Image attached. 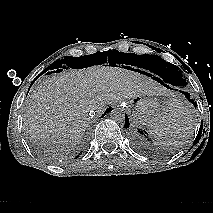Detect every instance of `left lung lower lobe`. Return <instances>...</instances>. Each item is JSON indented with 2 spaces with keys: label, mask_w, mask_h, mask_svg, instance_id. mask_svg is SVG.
Listing matches in <instances>:
<instances>
[{
  "label": "left lung lower lobe",
  "mask_w": 213,
  "mask_h": 213,
  "mask_svg": "<svg viewBox=\"0 0 213 213\" xmlns=\"http://www.w3.org/2000/svg\"><path fill=\"white\" fill-rule=\"evenodd\" d=\"M150 71H152L153 73L156 74V76H154L153 79L156 80L157 82H159L160 84L164 85V86L167 87V88H170V86H172V85L174 86V83H173V82L171 81V79H169L166 75L161 74V73L156 72V71H153V70H150ZM141 72H142V73H146V72H144V71H141ZM146 74H147L148 76L152 77L151 74H149V73H146ZM180 92H182L183 94H185L186 98H187V99L195 106V108H196V104L193 102L192 99H190V94L187 93V92H183V91H181V90H180ZM126 127H129V119H128L127 115H126V118H125V125H124V128H126Z\"/></svg>",
  "instance_id": "obj_1"
}]
</instances>
